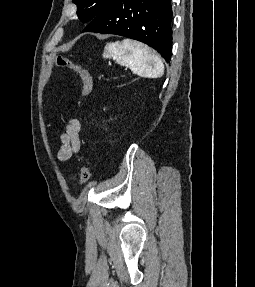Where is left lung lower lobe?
<instances>
[{"label":"left lung lower lobe","mask_w":255,"mask_h":287,"mask_svg":"<svg viewBox=\"0 0 255 287\" xmlns=\"http://www.w3.org/2000/svg\"><path fill=\"white\" fill-rule=\"evenodd\" d=\"M82 32L122 35L156 49L169 62L172 50L171 0H111Z\"/></svg>","instance_id":"obj_1"}]
</instances>
